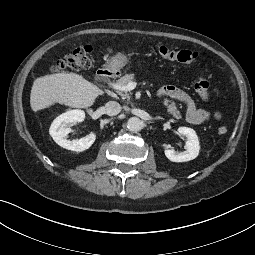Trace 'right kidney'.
Segmentation results:
<instances>
[{
  "mask_svg": "<svg viewBox=\"0 0 255 255\" xmlns=\"http://www.w3.org/2000/svg\"><path fill=\"white\" fill-rule=\"evenodd\" d=\"M85 119V113L82 110H70L58 116L50 126V135L53 140L61 147L82 152L91 147L96 140V134L91 132L88 136L81 139L68 140V134L72 131L69 124L82 122Z\"/></svg>",
  "mask_w": 255,
  "mask_h": 255,
  "instance_id": "right-kidney-1",
  "label": "right kidney"
}]
</instances>
